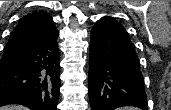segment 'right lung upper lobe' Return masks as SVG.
I'll return each instance as SVG.
<instances>
[{
  "mask_svg": "<svg viewBox=\"0 0 171 110\" xmlns=\"http://www.w3.org/2000/svg\"><path fill=\"white\" fill-rule=\"evenodd\" d=\"M58 32L51 16L44 10L35 11L21 18L14 28L3 56L20 55L24 51L38 46Z\"/></svg>",
  "mask_w": 171,
  "mask_h": 110,
  "instance_id": "1",
  "label": "right lung upper lobe"
}]
</instances>
